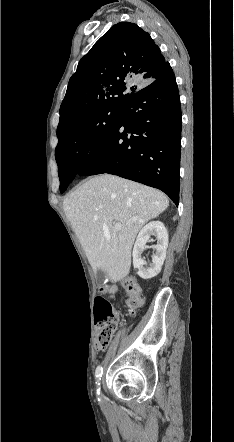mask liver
<instances>
[{
  "label": "liver",
  "mask_w": 234,
  "mask_h": 442,
  "mask_svg": "<svg viewBox=\"0 0 234 442\" xmlns=\"http://www.w3.org/2000/svg\"><path fill=\"white\" fill-rule=\"evenodd\" d=\"M168 206L160 191L109 174L88 179L63 202L93 271H104L114 282L129 273L132 246L141 227ZM116 222L121 229L115 228Z\"/></svg>",
  "instance_id": "1"
}]
</instances>
